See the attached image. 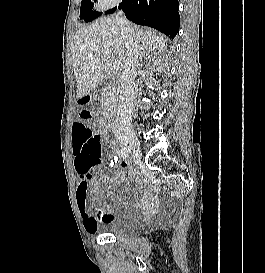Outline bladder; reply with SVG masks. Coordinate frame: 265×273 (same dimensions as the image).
I'll list each match as a JSON object with an SVG mask.
<instances>
[{
    "instance_id": "bladder-1",
    "label": "bladder",
    "mask_w": 265,
    "mask_h": 273,
    "mask_svg": "<svg viewBox=\"0 0 265 273\" xmlns=\"http://www.w3.org/2000/svg\"><path fill=\"white\" fill-rule=\"evenodd\" d=\"M142 221L135 215H117L100 229L107 235L115 237L136 235L141 228Z\"/></svg>"
}]
</instances>
